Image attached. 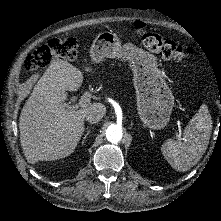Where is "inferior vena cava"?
Instances as JSON below:
<instances>
[{
  "mask_svg": "<svg viewBox=\"0 0 221 221\" xmlns=\"http://www.w3.org/2000/svg\"><path fill=\"white\" fill-rule=\"evenodd\" d=\"M103 116H104V113H102V112L92 111L89 114L85 115V119L89 123L94 124V123L100 122L102 120Z\"/></svg>",
  "mask_w": 221,
  "mask_h": 221,
  "instance_id": "inferior-vena-cava-1",
  "label": "inferior vena cava"
}]
</instances>
